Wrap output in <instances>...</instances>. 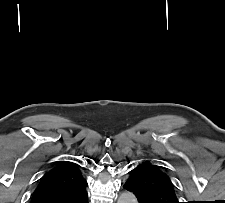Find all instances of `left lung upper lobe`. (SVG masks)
<instances>
[{
    "label": "left lung upper lobe",
    "instance_id": "5c2ea615",
    "mask_svg": "<svg viewBox=\"0 0 225 203\" xmlns=\"http://www.w3.org/2000/svg\"><path fill=\"white\" fill-rule=\"evenodd\" d=\"M126 183L140 203H179L170 178L151 163L134 167Z\"/></svg>",
    "mask_w": 225,
    "mask_h": 203
}]
</instances>
